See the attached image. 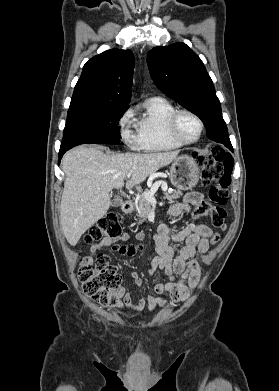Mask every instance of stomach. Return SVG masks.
Returning <instances> with one entry per match:
<instances>
[{
  "label": "stomach",
  "mask_w": 279,
  "mask_h": 391,
  "mask_svg": "<svg viewBox=\"0 0 279 391\" xmlns=\"http://www.w3.org/2000/svg\"><path fill=\"white\" fill-rule=\"evenodd\" d=\"M199 168L193 158L178 157L171 165L170 180L178 190H190L199 180Z\"/></svg>",
  "instance_id": "0dacf381"
}]
</instances>
